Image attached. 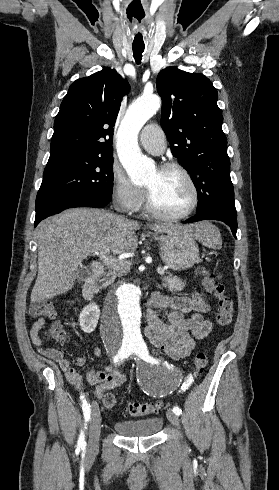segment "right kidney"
Wrapping results in <instances>:
<instances>
[{"label": "right kidney", "instance_id": "right-kidney-1", "mask_svg": "<svg viewBox=\"0 0 279 490\" xmlns=\"http://www.w3.org/2000/svg\"><path fill=\"white\" fill-rule=\"evenodd\" d=\"M99 316V306H96V304H88V306H85L79 316L81 330L86 332V334L94 332L98 324Z\"/></svg>", "mask_w": 279, "mask_h": 490}]
</instances>
